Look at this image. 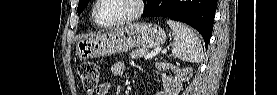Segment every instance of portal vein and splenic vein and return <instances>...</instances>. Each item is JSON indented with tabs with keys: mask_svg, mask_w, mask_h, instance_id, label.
I'll return each mask as SVG.
<instances>
[{
	"mask_svg": "<svg viewBox=\"0 0 277 95\" xmlns=\"http://www.w3.org/2000/svg\"><path fill=\"white\" fill-rule=\"evenodd\" d=\"M161 48H157L153 51H151L146 57H144L145 59H150L152 57H154L155 55L158 54V52H160Z\"/></svg>",
	"mask_w": 277,
	"mask_h": 95,
	"instance_id": "obj_1",
	"label": "portal vein and splenic vein"
}]
</instances>
